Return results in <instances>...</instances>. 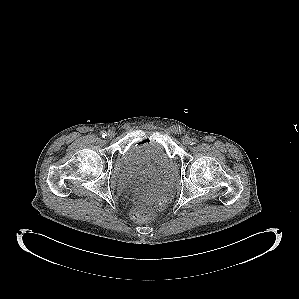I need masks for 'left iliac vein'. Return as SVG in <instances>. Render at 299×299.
<instances>
[{"label":"left iliac vein","instance_id":"left-iliac-vein-1","mask_svg":"<svg viewBox=\"0 0 299 299\" xmlns=\"http://www.w3.org/2000/svg\"><path fill=\"white\" fill-rule=\"evenodd\" d=\"M191 139L188 137V136H184L183 138H182V143L184 144V145H190L191 143Z\"/></svg>","mask_w":299,"mask_h":299}]
</instances>
